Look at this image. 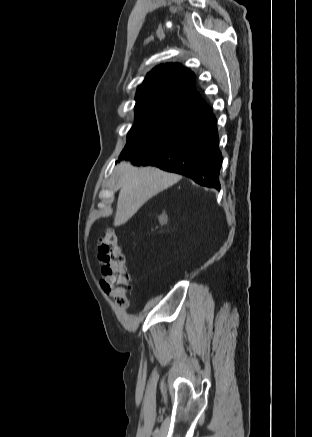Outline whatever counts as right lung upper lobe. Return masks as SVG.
Instances as JSON below:
<instances>
[{
  "mask_svg": "<svg viewBox=\"0 0 312 437\" xmlns=\"http://www.w3.org/2000/svg\"><path fill=\"white\" fill-rule=\"evenodd\" d=\"M194 79L195 74L180 64H161L138 87L135 107L165 105L201 115L209 106L194 91Z\"/></svg>",
  "mask_w": 312,
  "mask_h": 437,
  "instance_id": "1",
  "label": "right lung upper lobe"
}]
</instances>
